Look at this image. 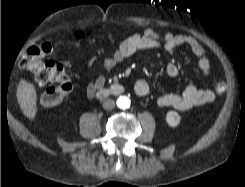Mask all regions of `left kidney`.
<instances>
[{
  "instance_id": "1",
  "label": "left kidney",
  "mask_w": 245,
  "mask_h": 187,
  "mask_svg": "<svg viewBox=\"0 0 245 187\" xmlns=\"http://www.w3.org/2000/svg\"><path fill=\"white\" fill-rule=\"evenodd\" d=\"M165 120L169 126L176 127L180 123V115L176 111H169Z\"/></svg>"
}]
</instances>
